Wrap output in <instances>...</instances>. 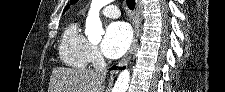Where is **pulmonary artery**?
Segmentation results:
<instances>
[{
	"instance_id": "obj_1",
	"label": "pulmonary artery",
	"mask_w": 225,
	"mask_h": 92,
	"mask_svg": "<svg viewBox=\"0 0 225 92\" xmlns=\"http://www.w3.org/2000/svg\"><path fill=\"white\" fill-rule=\"evenodd\" d=\"M103 1L106 5L102 10L103 15L110 18H117L120 16L118 7L113 3H111L112 2L111 0H103Z\"/></svg>"
}]
</instances>
